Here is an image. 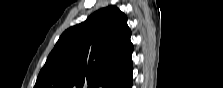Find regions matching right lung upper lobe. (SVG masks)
I'll list each match as a JSON object with an SVG mask.
<instances>
[{"label": "right lung upper lobe", "instance_id": "right-lung-upper-lobe-1", "mask_svg": "<svg viewBox=\"0 0 223 88\" xmlns=\"http://www.w3.org/2000/svg\"><path fill=\"white\" fill-rule=\"evenodd\" d=\"M130 36L117 7L96 11L60 36L35 88H125L132 81Z\"/></svg>", "mask_w": 223, "mask_h": 88}]
</instances>
